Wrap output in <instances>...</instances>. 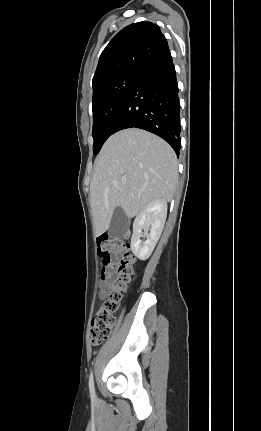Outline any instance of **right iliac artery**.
Segmentation results:
<instances>
[{"label": "right iliac artery", "mask_w": 261, "mask_h": 431, "mask_svg": "<svg viewBox=\"0 0 261 431\" xmlns=\"http://www.w3.org/2000/svg\"><path fill=\"white\" fill-rule=\"evenodd\" d=\"M89 390H90L91 398L94 400L95 399V388H94V381H93V373H91L90 377H89Z\"/></svg>", "instance_id": "82829eb1"}]
</instances>
